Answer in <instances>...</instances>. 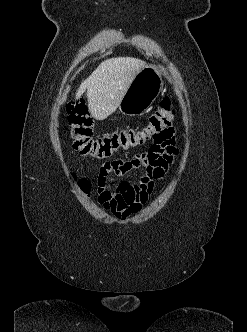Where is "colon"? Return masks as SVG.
<instances>
[{
    "label": "colon",
    "instance_id": "obj_1",
    "mask_svg": "<svg viewBox=\"0 0 247 332\" xmlns=\"http://www.w3.org/2000/svg\"><path fill=\"white\" fill-rule=\"evenodd\" d=\"M68 113L73 148L85 157L109 158L118 152L143 146L149 141L153 142L152 146L164 145L174 135V108L168 97L161 101L160 107L150 115L144 126L113 131L99 137L93 135V120L84 101L78 100L70 104ZM79 184L84 191H88L87 180L82 179Z\"/></svg>",
    "mask_w": 247,
    "mask_h": 332
}]
</instances>
